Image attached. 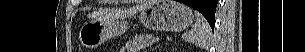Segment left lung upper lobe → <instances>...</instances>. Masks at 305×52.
Here are the masks:
<instances>
[{
    "instance_id": "5c2ea615",
    "label": "left lung upper lobe",
    "mask_w": 305,
    "mask_h": 52,
    "mask_svg": "<svg viewBox=\"0 0 305 52\" xmlns=\"http://www.w3.org/2000/svg\"><path fill=\"white\" fill-rule=\"evenodd\" d=\"M215 11L204 12V14H203L204 17L207 19V21L209 22L210 25H214Z\"/></svg>"
}]
</instances>
